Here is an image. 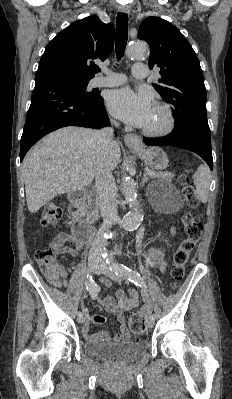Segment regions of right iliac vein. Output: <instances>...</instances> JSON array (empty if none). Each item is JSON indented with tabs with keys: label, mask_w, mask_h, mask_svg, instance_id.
Instances as JSON below:
<instances>
[{
	"label": "right iliac vein",
	"mask_w": 232,
	"mask_h": 399,
	"mask_svg": "<svg viewBox=\"0 0 232 399\" xmlns=\"http://www.w3.org/2000/svg\"><path fill=\"white\" fill-rule=\"evenodd\" d=\"M92 262L93 261H90L89 262V269H90V272L91 273H97V270H99V262L98 261H96L97 262V265H92ZM76 320L79 322V324H82V322H84V316L83 315H80V316H77L76 317Z\"/></svg>",
	"instance_id": "obj_1"
}]
</instances>
